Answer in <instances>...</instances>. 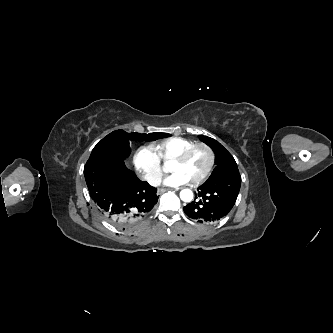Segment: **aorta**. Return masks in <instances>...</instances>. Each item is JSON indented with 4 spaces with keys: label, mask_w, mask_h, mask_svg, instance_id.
<instances>
[{
    "label": "aorta",
    "mask_w": 333,
    "mask_h": 333,
    "mask_svg": "<svg viewBox=\"0 0 333 333\" xmlns=\"http://www.w3.org/2000/svg\"><path fill=\"white\" fill-rule=\"evenodd\" d=\"M180 198L184 202H191L193 199V192L190 189H183L180 192Z\"/></svg>",
    "instance_id": "aorta-1"
}]
</instances>
